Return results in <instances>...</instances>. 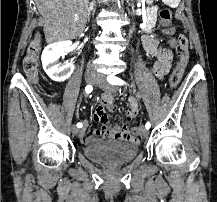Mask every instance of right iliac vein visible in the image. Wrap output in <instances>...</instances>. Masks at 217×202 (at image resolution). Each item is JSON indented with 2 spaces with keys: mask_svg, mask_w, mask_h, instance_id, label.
Wrapping results in <instances>:
<instances>
[{
  "mask_svg": "<svg viewBox=\"0 0 217 202\" xmlns=\"http://www.w3.org/2000/svg\"><path fill=\"white\" fill-rule=\"evenodd\" d=\"M85 80L87 83H94L96 81V76L93 73H86ZM71 132L73 136L79 135L80 131L75 125L71 127Z\"/></svg>",
  "mask_w": 217,
  "mask_h": 202,
  "instance_id": "1",
  "label": "right iliac vein"
}]
</instances>
